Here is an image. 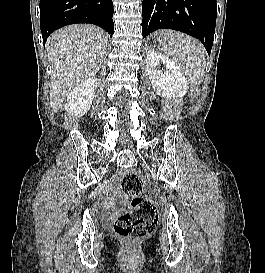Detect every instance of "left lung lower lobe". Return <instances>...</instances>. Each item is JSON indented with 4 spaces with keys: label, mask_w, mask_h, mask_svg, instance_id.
Masks as SVG:
<instances>
[{
    "label": "left lung lower lobe",
    "mask_w": 265,
    "mask_h": 273,
    "mask_svg": "<svg viewBox=\"0 0 265 273\" xmlns=\"http://www.w3.org/2000/svg\"><path fill=\"white\" fill-rule=\"evenodd\" d=\"M216 0H143L142 36L173 29L198 38L211 53L216 24Z\"/></svg>",
    "instance_id": "obj_1"
}]
</instances>
